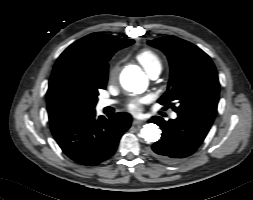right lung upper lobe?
<instances>
[{
  "label": "right lung upper lobe",
  "instance_id": "cb5924a9",
  "mask_svg": "<svg viewBox=\"0 0 253 200\" xmlns=\"http://www.w3.org/2000/svg\"><path fill=\"white\" fill-rule=\"evenodd\" d=\"M134 41L102 33H92L71 44L58 58L49 81L47 107L50 123L90 112L66 96L70 77L97 80L106 86L108 61L119 49Z\"/></svg>",
  "mask_w": 253,
  "mask_h": 200
}]
</instances>
